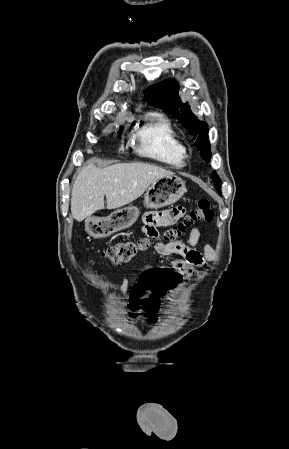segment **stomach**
<instances>
[{"label":"stomach","instance_id":"0dacf381","mask_svg":"<svg viewBox=\"0 0 289 449\" xmlns=\"http://www.w3.org/2000/svg\"><path fill=\"white\" fill-rule=\"evenodd\" d=\"M185 181L176 175L165 176L153 182L147 189L144 204L158 209L177 202L186 193ZM136 206H128L112 212L107 217H90L85 222L87 233L94 238H105L131 227L139 217Z\"/></svg>","mask_w":289,"mask_h":449}]
</instances>
